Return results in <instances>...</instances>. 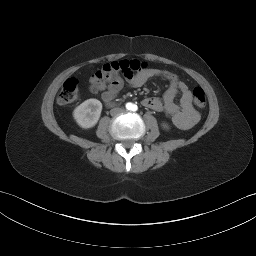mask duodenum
Wrapping results in <instances>:
<instances>
[{
    "label": "duodenum",
    "instance_id": "1",
    "mask_svg": "<svg viewBox=\"0 0 256 256\" xmlns=\"http://www.w3.org/2000/svg\"><path fill=\"white\" fill-rule=\"evenodd\" d=\"M106 103H107L108 105H110V104H111V101H107Z\"/></svg>",
    "mask_w": 256,
    "mask_h": 256
}]
</instances>
